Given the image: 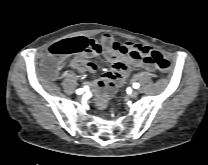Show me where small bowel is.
I'll return each instance as SVG.
<instances>
[{
  "label": "small bowel",
  "instance_id": "c3829d8e",
  "mask_svg": "<svg viewBox=\"0 0 208 165\" xmlns=\"http://www.w3.org/2000/svg\"><path fill=\"white\" fill-rule=\"evenodd\" d=\"M87 42L88 48L76 54L69 63V67L79 73L96 72L98 64L90 59L105 54L111 64L110 70L87 86L97 94L96 103L101 109L107 106L114 89L124 82L132 67L154 70V65L144 60L143 49H149L147 46L133 42H120L109 33H103L100 41L90 39Z\"/></svg>",
  "mask_w": 208,
  "mask_h": 165
}]
</instances>
